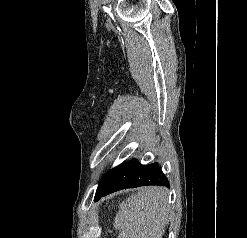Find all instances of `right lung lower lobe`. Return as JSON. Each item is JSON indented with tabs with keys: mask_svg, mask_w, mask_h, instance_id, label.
Here are the masks:
<instances>
[{
	"mask_svg": "<svg viewBox=\"0 0 247 238\" xmlns=\"http://www.w3.org/2000/svg\"><path fill=\"white\" fill-rule=\"evenodd\" d=\"M144 185L168 186V180L161 172L157 163L142 165L135 160L123 167H118L106 188L95 197V201L124 188H133Z\"/></svg>",
	"mask_w": 247,
	"mask_h": 238,
	"instance_id": "obj_1",
	"label": "right lung lower lobe"
}]
</instances>
